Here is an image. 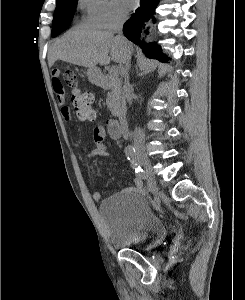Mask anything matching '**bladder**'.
<instances>
[{"label":"bladder","instance_id":"31cf9c89","mask_svg":"<svg viewBox=\"0 0 245 300\" xmlns=\"http://www.w3.org/2000/svg\"><path fill=\"white\" fill-rule=\"evenodd\" d=\"M99 213L114 248L149 250L161 245L167 237L163 220L139 193L117 192L101 202Z\"/></svg>","mask_w":245,"mask_h":300}]
</instances>
